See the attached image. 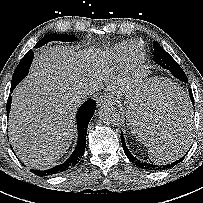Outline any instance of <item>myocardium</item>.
<instances>
[{
    "label": "myocardium",
    "instance_id": "myocardium-1",
    "mask_svg": "<svg viewBox=\"0 0 203 203\" xmlns=\"http://www.w3.org/2000/svg\"><path fill=\"white\" fill-rule=\"evenodd\" d=\"M139 47L140 52H136V48ZM145 59V49L144 46L138 42L133 41L130 44L129 51L124 60V73L130 74L135 72L144 62Z\"/></svg>",
    "mask_w": 203,
    "mask_h": 203
}]
</instances>
